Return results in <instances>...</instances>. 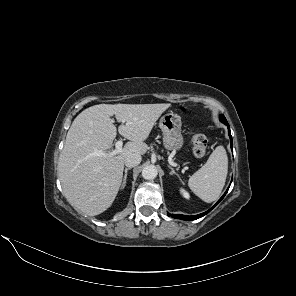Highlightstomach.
<instances>
[{"mask_svg": "<svg viewBox=\"0 0 296 296\" xmlns=\"http://www.w3.org/2000/svg\"><path fill=\"white\" fill-rule=\"evenodd\" d=\"M181 126V117L173 112L161 117L159 127L163 132V144L167 150L178 151L182 148L184 139Z\"/></svg>", "mask_w": 296, "mask_h": 296, "instance_id": "obj_1", "label": "stomach"}]
</instances>
